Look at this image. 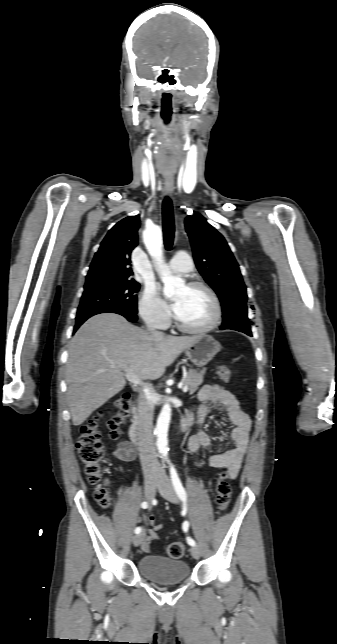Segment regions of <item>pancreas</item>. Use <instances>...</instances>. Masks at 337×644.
<instances>
[{"instance_id":"1","label":"pancreas","mask_w":337,"mask_h":644,"mask_svg":"<svg viewBox=\"0 0 337 644\" xmlns=\"http://www.w3.org/2000/svg\"><path fill=\"white\" fill-rule=\"evenodd\" d=\"M206 372V369H202L201 371L195 370V369H190L184 379V386H188V390L190 394H193L196 392L198 387L202 384L203 382V376Z\"/></svg>"}]
</instances>
